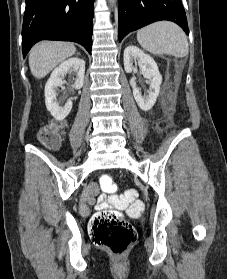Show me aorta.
<instances>
[{"mask_svg": "<svg viewBox=\"0 0 227 279\" xmlns=\"http://www.w3.org/2000/svg\"><path fill=\"white\" fill-rule=\"evenodd\" d=\"M110 1V3H112L113 4V2H114V0H109Z\"/></svg>", "mask_w": 227, "mask_h": 279, "instance_id": "aorta-1", "label": "aorta"}]
</instances>
